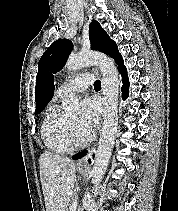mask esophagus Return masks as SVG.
Segmentation results:
<instances>
[{"mask_svg": "<svg viewBox=\"0 0 178 211\" xmlns=\"http://www.w3.org/2000/svg\"><path fill=\"white\" fill-rule=\"evenodd\" d=\"M95 148H96V143H94V145L88 149V152H87V155L80 158L77 163H76V166L78 168H87L89 167V163H88V159L89 158H92V154L93 152L95 151Z\"/></svg>", "mask_w": 178, "mask_h": 211, "instance_id": "obj_1", "label": "esophagus"}]
</instances>
